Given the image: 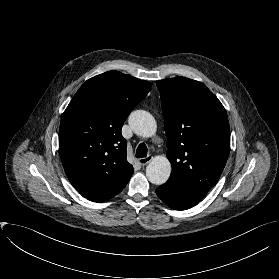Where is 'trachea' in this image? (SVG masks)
Returning a JSON list of instances; mask_svg holds the SVG:
<instances>
[{
	"label": "trachea",
	"instance_id": "3493384b",
	"mask_svg": "<svg viewBox=\"0 0 279 279\" xmlns=\"http://www.w3.org/2000/svg\"><path fill=\"white\" fill-rule=\"evenodd\" d=\"M147 146L144 143H140L136 150V158H144L147 156Z\"/></svg>",
	"mask_w": 279,
	"mask_h": 279
}]
</instances>
